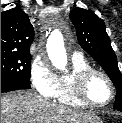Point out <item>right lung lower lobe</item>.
Returning <instances> with one entry per match:
<instances>
[{
	"label": "right lung lower lobe",
	"instance_id": "1",
	"mask_svg": "<svg viewBox=\"0 0 122 123\" xmlns=\"http://www.w3.org/2000/svg\"><path fill=\"white\" fill-rule=\"evenodd\" d=\"M30 88H31L30 84H25L13 79L1 78V93Z\"/></svg>",
	"mask_w": 122,
	"mask_h": 123
}]
</instances>
